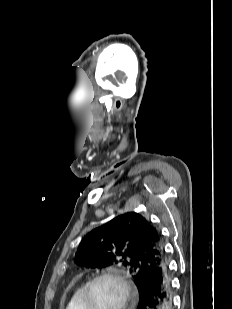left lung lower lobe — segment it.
Masks as SVG:
<instances>
[{
    "instance_id": "obj_1",
    "label": "left lung lower lobe",
    "mask_w": 232,
    "mask_h": 309,
    "mask_svg": "<svg viewBox=\"0 0 232 309\" xmlns=\"http://www.w3.org/2000/svg\"><path fill=\"white\" fill-rule=\"evenodd\" d=\"M173 294L169 264L165 259L147 275L139 291L137 309H172Z\"/></svg>"
}]
</instances>
